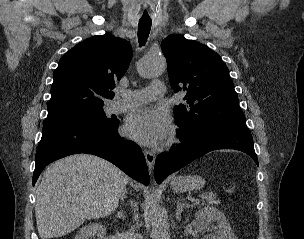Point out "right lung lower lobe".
Wrapping results in <instances>:
<instances>
[{"label": "right lung lower lobe", "mask_w": 304, "mask_h": 239, "mask_svg": "<svg viewBox=\"0 0 304 239\" xmlns=\"http://www.w3.org/2000/svg\"><path fill=\"white\" fill-rule=\"evenodd\" d=\"M119 120L109 125H65L43 129L36 151L33 185L42 170L62 157L88 153L104 158L133 179L149 184L142 150L134 142L119 136Z\"/></svg>", "instance_id": "1"}]
</instances>
